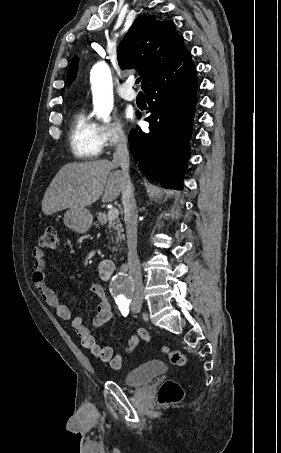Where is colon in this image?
<instances>
[{"label":"colon","mask_w":281,"mask_h":453,"mask_svg":"<svg viewBox=\"0 0 281 453\" xmlns=\"http://www.w3.org/2000/svg\"><path fill=\"white\" fill-rule=\"evenodd\" d=\"M60 231L59 226H47L44 233L39 238L38 245L47 249H54L56 247L57 237ZM165 354L171 364L178 367H187V355L179 350L168 349ZM184 399V392L181 387L173 380H168L163 383L157 392V401L161 408H166L174 403L180 402Z\"/></svg>","instance_id":"obj_1"}]
</instances>
